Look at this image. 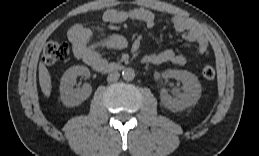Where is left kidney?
<instances>
[{"instance_id": "1", "label": "left kidney", "mask_w": 259, "mask_h": 156, "mask_svg": "<svg viewBox=\"0 0 259 156\" xmlns=\"http://www.w3.org/2000/svg\"><path fill=\"white\" fill-rule=\"evenodd\" d=\"M164 79L175 78L182 82L184 93L173 98L166 89H161L160 99L163 106L173 112L182 111L195 105L201 96V85L198 78L186 70L169 69L162 73Z\"/></svg>"}]
</instances>
